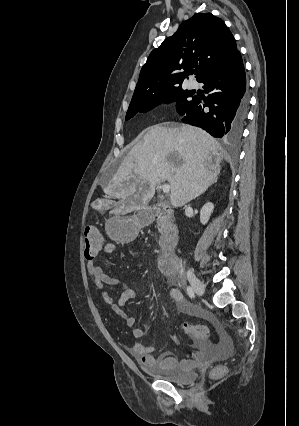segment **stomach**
Here are the masks:
<instances>
[{
    "mask_svg": "<svg viewBox=\"0 0 299 426\" xmlns=\"http://www.w3.org/2000/svg\"><path fill=\"white\" fill-rule=\"evenodd\" d=\"M105 230L111 239L128 242L136 236L137 223L130 218L115 216L106 220Z\"/></svg>",
    "mask_w": 299,
    "mask_h": 426,
    "instance_id": "stomach-1",
    "label": "stomach"
}]
</instances>
